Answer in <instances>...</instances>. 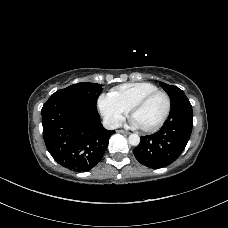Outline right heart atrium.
Segmentation results:
<instances>
[{"mask_svg":"<svg viewBox=\"0 0 228 228\" xmlns=\"http://www.w3.org/2000/svg\"><path fill=\"white\" fill-rule=\"evenodd\" d=\"M97 104L105 122L111 127L117 126L128 112V109L119 104L110 93L101 94Z\"/></svg>","mask_w":228,"mask_h":228,"instance_id":"d8ad5b80","label":"right heart atrium"}]
</instances>
